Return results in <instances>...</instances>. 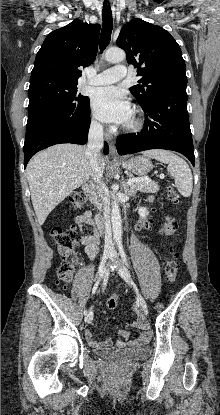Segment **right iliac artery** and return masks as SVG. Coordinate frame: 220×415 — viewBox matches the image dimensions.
I'll return each mask as SVG.
<instances>
[{
	"label": "right iliac artery",
	"instance_id": "1",
	"mask_svg": "<svg viewBox=\"0 0 220 415\" xmlns=\"http://www.w3.org/2000/svg\"><path fill=\"white\" fill-rule=\"evenodd\" d=\"M98 285H99V280L95 283V285L93 287V290H92V294H94L96 292V290L98 288ZM83 313H84V315H87L88 311L87 310H84Z\"/></svg>",
	"mask_w": 220,
	"mask_h": 415
}]
</instances>
